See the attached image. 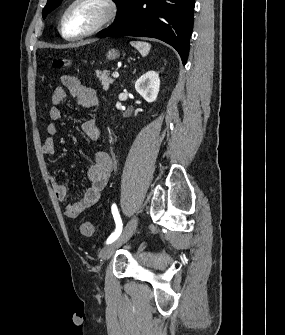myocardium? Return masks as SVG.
Segmentation results:
<instances>
[{
    "mask_svg": "<svg viewBox=\"0 0 285 335\" xmlns=\"http://www.w3.org/2000/svg\"><path fill=\"white\" fill-rule=\"evenodd\" d=\"M86 3L96 4L103 7L106 11L105 16L92 27L81 29L79 32L75 33L72 38H81L96 34L103 30L117 16L118 7L116 1H73L67 11V20L72 21L75 8L80 4Z\"/></svg>",
    "mask_w": 285,
    "mask_h": 335,
    "instance_id": "myocardium-1",
    "label": "myocardium"
}]
</instances>
